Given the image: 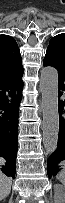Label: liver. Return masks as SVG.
Masks as SVG:
<instances>
[{"mask_svg": "<svg viewBox=\"0 0 65 203\" xmlns=\"http://www.w3.org/2000/svg\"><path fill=\"white\" fill-rule=\"evenodd\" d=\"M1 163H4L3 158L0 160ZM12 179L5 176L4 174H0V199L6 198L11 191Z\"/></svg>", "mask_w": 65, "mask_h": 203, "instance_id": "6515ba94", "label": "liver"}]
</instances>
